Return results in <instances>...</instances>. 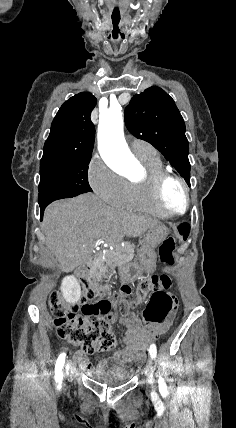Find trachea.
I'll use <instances>...</instances> for the list:
<instances>
[{"label":"trachea","instance_id":"obj_1","mask_svg":"<svg viewBox=\"0 0 236 428\" xmlns=\"http://www.w3.org/2000/svg\"><path fill=\"white\" fill-rule=\"evenodd\" d=\"M121 25H122L121 13H112L111 23L109 25V28L115 40H118L119 36L122 34Z\"/></svg>","mask_w":236,"mask_h":428}]
</instances>
